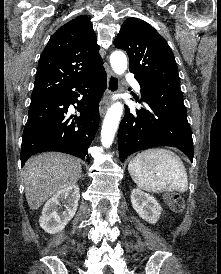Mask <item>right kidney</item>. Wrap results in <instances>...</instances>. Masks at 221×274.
<instances>
[{
    "label": "right kidney",
    "instance_id": "obj_1",
    "mask_svg": "<svg viewBox=\"0 0 221 274\" xmlns=\"http://www.w3.org/2000/svg\"><path fill=\"white\" fill-rule=\"evenodd\" d=\"M79 199L80 192L77 185H71L57 192L43 207L39 219L40 227L49 234L63 230L75 215ZM61 203H65L64 210Z\"/></svg>",
    "mask_w": 221,
    "mask_h": 274
}]
</instances>
